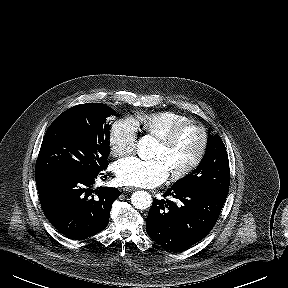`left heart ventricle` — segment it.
Wrapping results in <instances>:
<instances>
[{
  "instance_id": "obj_1",
  "label": "left heart ventricle",
  "mask_w": 288,
  "mask_h": 288,
  "mask_svg": "<svg viewBox=\"0 0 288 288\" xmlns=\"http://www.w3.org/2000/svg\"><path fill=\"white\" fill-rule=\"evenodd\" d=\"M200 140L198 129L189 126L168 146L158 141L153 156L163 158L170 172L177 171L195 157Z\"/></svg>"
}]
</instances>
